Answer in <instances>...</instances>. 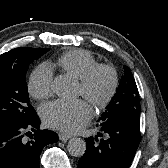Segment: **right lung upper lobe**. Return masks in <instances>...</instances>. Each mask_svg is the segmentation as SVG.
<instances>
[{"instance_id":"1","label":"right lung upper lobe","mask_w":168,"mask_h":168,"mask_svg":"<svg viewBox=\"0 0 168 168\" xmlns=\"http://www.w3.org/2000/svg\"><path fill=\"white\" fill-rule=\"evenodd\" d=\"M16 49H17V48H16ZM16 49H13V50H11V51H9V52H7V53L2 54V55L0 56V59H3V58H5V57L9 56V55H10L11 53H13L14 50H16Z\"/></svg>"}]
</instances>
